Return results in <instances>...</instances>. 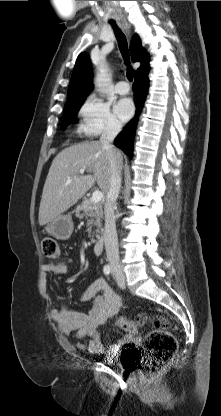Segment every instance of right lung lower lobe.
Here are the masks:
<instances>
[{"instance_id": "right-lung-lower-lobe-1", "label": "right lung lower lobe", "mask_w": 221, "mask_h": 416, "mask_svg": "<svg viewBox=\"0 0 221 416\" xmlns=\"http://www.w3.org/2000/svg\"><path fill=\"white\" fill-rule=\"evenodd\" d=\"M149 70L135 75V82L133 84V91L135 96L136 114L134 118L128 123L124 130L116 137L114 144L122 149L129 157L133 153V139L135 134L136 122L142 110L143 103L149 87Z\"/></svg>"}]
</instances>
